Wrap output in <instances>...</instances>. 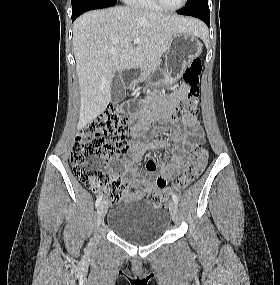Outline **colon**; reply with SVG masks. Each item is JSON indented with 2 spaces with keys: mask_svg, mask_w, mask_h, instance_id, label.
I'll return each instance as SVG.
<instances>
[{
  "mask_svg": "<svg viewBox=\"0 0 280 285\" xmlns=\"http://www.w3.org/2000/svg\"><path fill=\"white\" fill-rule=\"evenodd\" d=\"M201 71L198 58L192 60L186 68L183 80L188 86V92L176 109L173 119L193 116L198 112ZM133 148L134 145L127 139L125 119L117 109L109 108L80 130L72 148L70 161L79 181L95 193L102 192L110 203H116L121 196V182L107 173L106 164L118 154ZM206 161L207 150L201 142H197L176 187L184 188L193 183L203 172ZM167 198L168 193L160 190L149 194L147 200L161 205Z\"/></svg>",
  "mask_w": 280,
  "mask_h": 285,
  "instance_id": "1",
  "label": "colon"
}]
</instances>
